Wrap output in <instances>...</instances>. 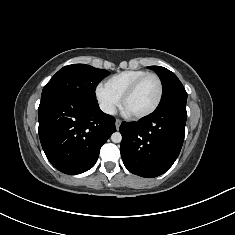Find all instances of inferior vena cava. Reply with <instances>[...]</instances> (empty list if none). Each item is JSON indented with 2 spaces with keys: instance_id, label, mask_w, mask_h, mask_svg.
<instances>
[{
  "instance_id": "inferior-vena-cava-1",
  "label": "inferior vena cava",
  "mask_w": 235,
  "mask_h": 235,
  "mask_svg": "<svg viewBox=\"0 0 235 235\" xmlns=\"http://www.w3.org/2000/svg\"><path fill=\"white\" fill-rule=\"evenodd\" d=\"M100 108L104 113H107L110 115H114L116 113V108L113 105L102 104Z\"/></svg>"
}]
</instances>
